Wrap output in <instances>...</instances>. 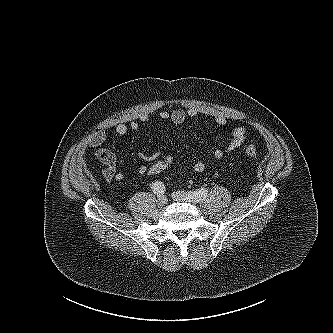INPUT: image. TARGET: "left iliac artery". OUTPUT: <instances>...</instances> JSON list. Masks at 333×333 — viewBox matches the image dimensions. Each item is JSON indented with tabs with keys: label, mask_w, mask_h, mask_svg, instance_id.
<instances>
[{
	"label": "left iliac artery",
	"mask_w": 333,
	"mask_h": 333,
	"mask_svg": "<svg viewBox=\"0 0 333 333\" xmlns=\"http://www.w3.org/2000/svg\"><path fill=\"white\" fill-rule=\"evenodd\" d=\"M189 195H190L192 201H194V202L203 201L208 195V190L206 188H201V189L189 192Z\"/></svg>",
	"instance_id": "1"
}]
</instances>
